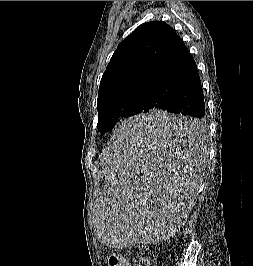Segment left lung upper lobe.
<instances>
[{
	"instance_id": "1",
	"label": "left lung upper lobe",
	"mask_w": 253,
	"mask_h": 266,
	"mask_svg": "<svg viewBox=\"0 0 253 266\" xmlns=\"http://www.w3.org/2000/svg\"><path fill=\"white\" fill-rule=\"evenodd\" d=\"M175 31L162 21L138 26L119 43L99 86L97 128L101 134L118 121L142 113L145 94Z\"/></svg>"
}]
</instances>
